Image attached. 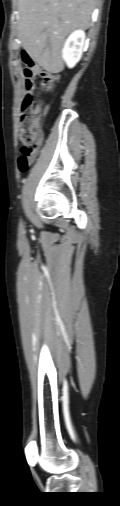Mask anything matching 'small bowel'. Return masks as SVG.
<instances>
[{
  "label": "small bowel",
  "mask_w": 120,
  "mask_h": 506,
  "mask_svg": "<svg viewBox=\"0 0 120 506\" xmlns=\"http://www.w3.org/2000/svg\"><path fill=\"white\" fill-rule=\"evenodd\" d=\"M33 89V84L27 89V91L31 92Z\"/></svg>",
  "instance_id": "c3829d8e"
}]
</instances>
